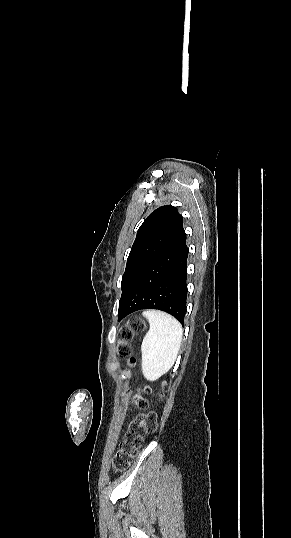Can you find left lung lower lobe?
I'll use <instances>...</instances> for the list:
<instances>
[{
    "instance_id": "obj_1",
    "label": "left lung lower lobe",
    "mask_w": 291,
    "mask_h": 538,
    "mask_svg": "<svg viewBox=\"0 0 291 538\" xmlns=\"http://www.w3.org/2000/svg\"><path fill=\"white\" fill-rule=\"evenodd\" d=\"M188 253L184 231L141 276L128 300L119 306L118 320L140 309H158L184 324Z\"/></svg>"
}]
</instances>
